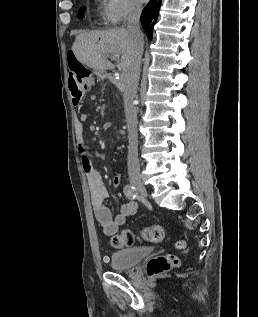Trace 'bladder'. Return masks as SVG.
I'll return each mask as SVG.
<instances>
[{
    "mask_svg": "<svg viewBox=\"0 0 258 317\" xmlns=\"http://www.w3.org/2000/svg\"><path fill=\"white\" fill-rule=\"evenodd\" d=\"M151 246H135L115 251L110 256L111 266L116 270H126L138 265L153 252Z\"/></svg>",
    "mask_w": 258,
    "mask_h": 317,
    "instance_id": "obj_1",
    "label": "bladder"
}]
</instances>
